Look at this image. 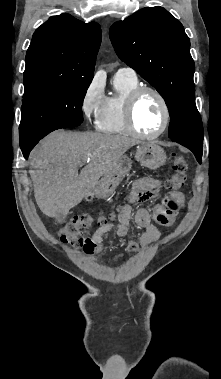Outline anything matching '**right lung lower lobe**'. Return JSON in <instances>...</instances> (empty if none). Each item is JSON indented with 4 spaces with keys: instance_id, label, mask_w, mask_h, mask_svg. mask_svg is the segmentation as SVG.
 Instances as JSON below:
<instances>
[{
    "instance_id": "1",
    "label": "right lung lower lobe",
    "mask_w": 221,
    "mask_h": 379,
    "mask_svg": "<svg viewBox=\"0 0 221 379\" xmlns=\"http://www.w3.org/2000/svg\"><path fill=\"white\" fill-rule=\"evenodd\" d=\"M43 138V137H42ZM41 138H37L34 141H28L27 139H20V147L25 159L28 158L30 151L37 144Z\"/></svg>"
}]
</instances>
